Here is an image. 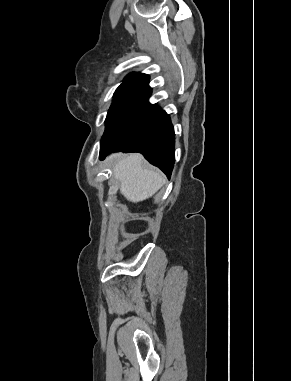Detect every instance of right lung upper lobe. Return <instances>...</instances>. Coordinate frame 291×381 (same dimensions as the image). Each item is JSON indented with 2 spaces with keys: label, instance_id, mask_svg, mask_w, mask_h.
Segmentation results:
<instances>
[{
  "label": "right lung upper lobe",
  "instance_id": "1",
  "mask_svg": "<svg viewBox=\"0 0 291 381\" xmlns=\"http://www.w3.org/2000/svg\"><path fill=\"white\" fill-rule=\"evenodd\" d=\"M146 75L145 74H142V73H131L127 76V78L124 80V82L126 81H129V80H133V79H142L143 77H145ZM123 82V83H124Z\"/></svg>",
  "mask_w": 291,
  "mask_h": 381
}]
</instances>
